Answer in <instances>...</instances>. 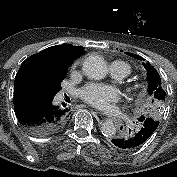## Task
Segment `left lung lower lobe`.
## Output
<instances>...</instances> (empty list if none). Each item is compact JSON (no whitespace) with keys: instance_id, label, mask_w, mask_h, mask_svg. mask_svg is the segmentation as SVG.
I'll list each match as a JSON object with an SVG mask.
<instances>
[{"instance_id":"left-lung-lower-lobe-1","label":"left lung lower lobe","mask_w":177,"mask_h":177,"mask_svg":"<svg viewBox=\"0 0 177 177\" xmlns=\"http://www.w3.org/2000/svg\"><path fill=\"white\" fill-rule=\"evenodd\" d=\"M159 121L151 117L140 118L139 127L130 135L115 137L112 143L120 149H134L141 146L156 130Z\"/></svg>"}]
</instances>
